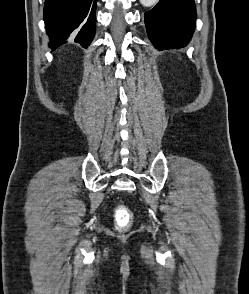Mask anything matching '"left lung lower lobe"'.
<instances>
[{
    "label": "left lung lower lobe",
    "mask_w": 249,
    "mask_h": 294,
    "mask_svg": "<svg viewBox=\"0 0 249 294\" xmlns=\"http://www.w3.org/2000/svg\"><path fill=\"white\" fill-rule=\"evenodd\" d=\"M195 17L194 0H160L145 13L148 36L159 50L182 48L191 39Z\"/></svg>",
    "instance_id": "left-lung-lower-lobe-1"
}]
</instances>
